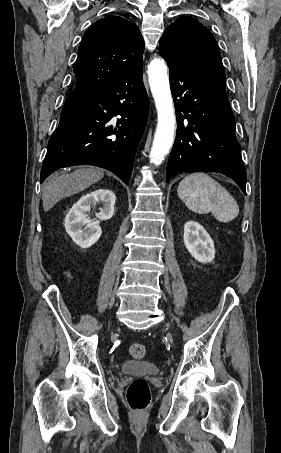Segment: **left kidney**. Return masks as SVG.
<instances>
[{
    "label": "left kidney",
    "instance_id": "left-kidney-1",
    "mask_svg": "<svg viewBox=\"0 0 281 453\" xmlns=\"http://www.w3.org/2000/svg\"><path fill=\"white\" fill-rule=\"evenodd\" d=\"M184 245L199 263H210L215 255L214 243L202 224L187 220L184 224Z\"/></svg>",
    "mask_w": 281,
    "mask_h": 453
}]
</instances>
